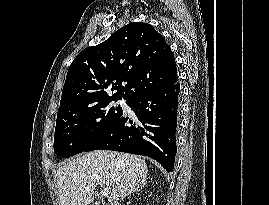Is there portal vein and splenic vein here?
Segmentation results:
<instances>
[{
  "label": "portal vein and splenic vein",
  "instance_id": "obj_1",
  "mask_svg": "<svg viewBox=\"0 0 269 205\" xmlns=\"http://www.w3.org/2000/svg\"><path fill=\"white\" fill-rule=\"evenodd\" d=\"M99 195L108 196L109 195V190L108 189H102V190H100Z\"/></svg>",
  "mask_w": 269,
  "mask_h": 205
}]
</instances>
